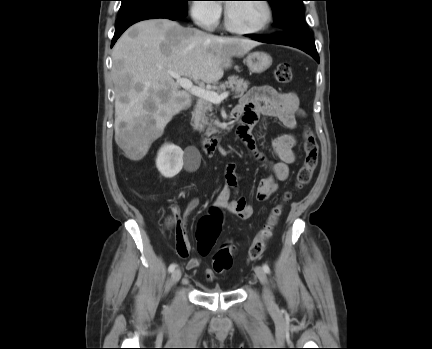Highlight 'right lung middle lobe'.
Wrapping results in <instances>:
<instances>
[{"label": "right lung middle lobe", "mask_w": 432, "mask_h": 349, "mask_svg": "<svg viewBox=\"0 0 432 349\" xmlns=\"http://www.w3.org/2000/svg\"><path fill=\"white\" fill-rule=\"evenodd\" d=\"M118 17L142 10H159L182 19L188 14L189 0H120Z\"/></svg>", "instance_id": "1"}]
</instances>
